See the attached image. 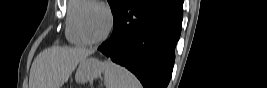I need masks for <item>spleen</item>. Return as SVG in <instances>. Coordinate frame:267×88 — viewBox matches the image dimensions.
Here are the masks:
<instances>
[{"instance_id": "spleen-1", "label": "spleen", "mask_w": 267, "mask_h": 88, "mask_svg": "<svg viewBox=\"0 0 267 88\" xmlns=\"http://www.w3.org/2000/svg\"><path fill=\"white\" fill-rule=\"evenodd\" d=\"M103 67L106 88H142L135 75L124 67L109 60L103 63Z\"/></svg>"}]
</instances>
